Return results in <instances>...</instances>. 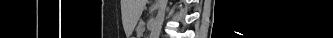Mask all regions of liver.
Masks as SVG:
<instances>
[{
  "mask_svg": "<svg viewBox=\"0 0 333 38\" xmlns=\"http://www.w3.org/2000/svg\"><path fill=\"white\" fill-rule=\"evenodd\" d=\"M146 0H134L133 2V21H138L142 14Z\"/></svg>",
  "mask_w": 333,
  "mask_h": 38,
  "instance_id": "liver-1",
  "label": "liver"
}]
</instances>
